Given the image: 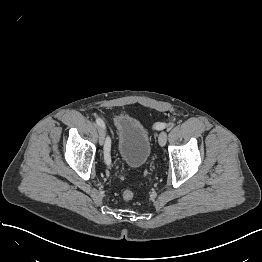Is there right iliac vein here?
Listing matches in <instances>:
<instances>
[{"label":"right iliac vein","instance_id":"obj_1","mask_svg":"<svg viewBox=\"0 0 262 262\" xmlns=\"http://www.w3.org/2000/svg\"><path fill=\"white\" fill-rule=\"evenodd\" d=\"M106 140V131L104 128L100 127L99 128V144L104 145Z\"/></svg>","mask_w":262,"mask_h":262}]
</instances>
